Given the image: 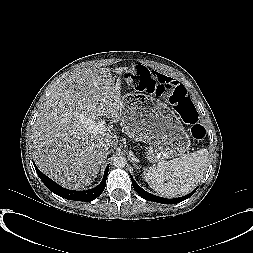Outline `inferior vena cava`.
Segmentation results:
<instances>
[{
  "mask_svg": "<svg viewBox=\"0 0 253 253\" xmlns=\"http://www.w3.org/2000/svg\"><path fill=\"white\" fill-rule=\"evenodd\" d=\"M104 149H105V151H108L109 149H112V148H111L110 145L108 144V145H105V146H104Z\"/></svg>",
  "mask_w": 253,
  "mask_h": 253,
  "instance_id": "inferior-vena-cava-1",
  "label": "inferior vena cava"
}]
</instances>
